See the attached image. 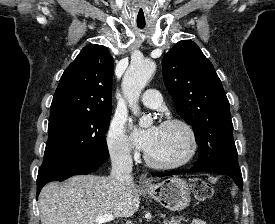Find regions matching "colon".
Returning <instances> with one entry per match:
<instances>
[{"label": "colon", "instance_id": "colon-1", "mask_svg": "<svg viewBox=\"0 0 275 224\" xmlns=\"http://www.w3.org/2000/svg\"><path fill=\"white\" fill-rule=\"evenodd\" d=\"M194 198L197 201H205L214 194V187L202 179H195L191 183Z\"/></svg>", "mask_w": 275, "mask_h": 224}]
</instances>
